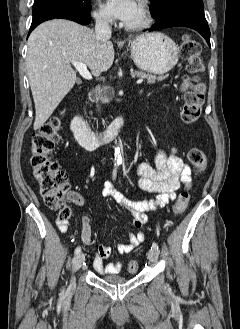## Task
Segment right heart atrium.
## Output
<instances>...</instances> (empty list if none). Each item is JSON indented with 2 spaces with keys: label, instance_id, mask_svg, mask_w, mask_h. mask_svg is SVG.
<instances>
[{
  "label": "right heart atrium",
  "instance_id": "obj_1",
  "mask_svg": "<svg viewBox=\"0 0 240 329\" xmlns=\"http://www.w3.org/2000/svg\"><path fill=\"white\" fill-rule=\"evenodd\" d=\"M93 16L99 24L108 25L111 23L110 16L105 12V10L100 5H97L93 13Z\"/></svg>",
  "mask_w": 240,
  "mask_h": 329
}]
</instances>
